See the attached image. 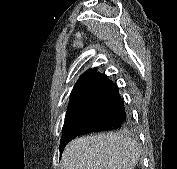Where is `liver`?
Masks as SVG:
<instances>
[{"mask_svg": "<svg viewBox=\"0 0 177 169\" xmlns=\"http://www.w3.org/2000/svg\"><path fill=\"white\" fill-rule=\"evenodd\" d=\"M140 155L136 141L118 133L80 137L69 142L61 169H134Z\"/></svg>", "mask_w": 177, "mask_h": 169, "instance_id": "obj_1", "label": "liver"}]
</instances>
